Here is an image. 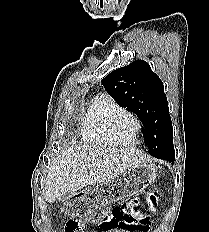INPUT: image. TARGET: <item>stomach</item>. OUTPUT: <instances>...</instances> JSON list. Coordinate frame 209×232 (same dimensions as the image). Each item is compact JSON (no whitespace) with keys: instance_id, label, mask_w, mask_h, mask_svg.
Instances as JSON below:
<instances>
[{"instance_id":"1","label":"stomach","mask_w":209,"mask_h":232,"mask_svg":"<svg viewBox=\"0 0 209 232\" xmlns=\"http://www.w3.org/2000/svg\"><path fill=\"white\" fill-rule=\"evenodd\" d=\"M158 174V167L152 163H140L119 176H112L110 182H101V186H91L84 194H72L64 201L63 214L70 218L86 221L87 214H95L109 203L119 199H128V195L137 194L148 187Z\"/></svg>"}]
</instances>
